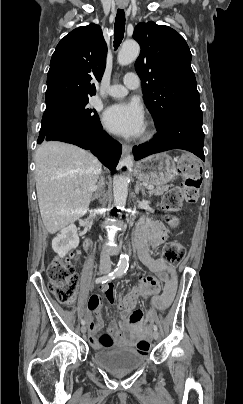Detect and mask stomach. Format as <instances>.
Returning a JSON list of instances; mask_svg holds the SVG:
<instances>
[{
    "label": "stomach",
    "mask_w": 243,
    "mask_h": 404,
    "mask_svg": "<svg viewBox=\"0 0 243 404\" xmlns=\"http://www.w3.org/2000/svg\"><path fill=\"white\" fill-rule=\"evenodd\" d=\"M135 172L142 182L162 186L177 176V167L168 154L158 153L139 161Z\"/></svg>",
    "instance_id": "stomach-1"
}]
</instances>
